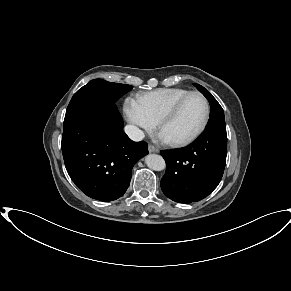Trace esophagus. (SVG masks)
I'll list each match as a JSON object with an SVG mask.
<instances>
[{
    "label": "esophagus",
    "mask_w": 291,
    "mask_h": 291,
    "mask_svg": "<svg viewBox=\"0 0 291 291\" xmlns=\"http://www.w3.org/2000/svg\"><path fill=\"white\" fill-rule=\"evenodd\" d=\"M148 150L150 153H158L159 152V149L154 147L153 145H149Z\"/></svg>",
    "instance_id": "34e87169"
}]
</instances>
